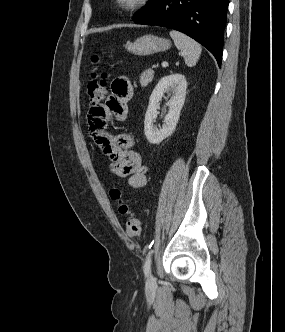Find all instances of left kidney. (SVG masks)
<instances>
[{"mask_svg": "<svg viewBox=\"0 0 285 332\" xmlns=\"http://www.w3.org/2000/svg\"><path fill=\"white\" fill-rule=\"evenodd\" d=\"M186 88V79L179 73L165 76L157 83L150 96L144 120L145 136L150 143L159 144L174 132L185 102ZM165 92L172 94L170 111L165 116L162 127L157 128L153 124L157 117V104Z\"/></svg>", "mask_w": 285, "mask_h": 332, "instance_id": "1", "label": "left kidney"}]
</instances>
